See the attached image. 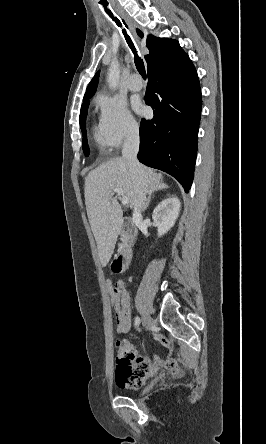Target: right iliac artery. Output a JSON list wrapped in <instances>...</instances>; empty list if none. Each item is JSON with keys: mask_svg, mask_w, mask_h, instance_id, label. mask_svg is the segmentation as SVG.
<instances>
[{"mask_svg": "<svg viewBox=\"0 0 266 444\" xmlns=\"http://www.w3.org/2000/svg\"><path fill=\"white\" fill-rule=\"evenodd\" d=\"M134 322H135V323H134V324H135V327L138 328L139 325H140V318H139V316H136V317H135V321H134Z\"/></svg>", "mask_w": 266, "mask_h": 444, "instance_id": "obj_1", "label": "right iliac artery"}]
</instances>
